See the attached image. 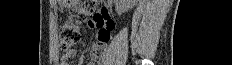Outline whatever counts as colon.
<instances>
[{"instance_id":"1","label":"colon","mask_w":232,"mask_h":65,"mask_svg":"<svg viewBox=\"0 0 232 65\" xmlns=\"http://www.w3.org/2000/svg\"><path fill=\"white\" fill-rule=\"evenodd\" d=\"M96 5L94 0H75L71 9V19L66 21L60 30V47L64 51L70 50L80 39L77 23L91 13ZM105 35H102L94 45L93 58L100 61L104 55Z\"/></svg>"}]
</instances>
